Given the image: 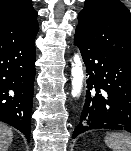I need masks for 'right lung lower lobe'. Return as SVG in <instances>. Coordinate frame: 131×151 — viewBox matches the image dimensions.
<instances>
[{
  "instance_id": "right-lung-lower-lobe-1",
  "label": "right lung lower lobe",
  "mask_w": 131,
  "mask_h": 151,
  "mask_svg": "<svg viewBox=\"0 0 131 151\" xmlns=\"http://www.w3.org/2000/svg\"><path fill=\"white\" fill-rule=\"evenodd\" d=\"M36 34L0 41V121L25 134L28 142L31 133Z\"/></svg>"
}]
</instances>
